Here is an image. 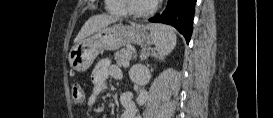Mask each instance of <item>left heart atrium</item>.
Here are the masks:
<instances>
[{"instance_id": "left-heart-atrium-1", "label": "left heart atrium", "mask_w": 273, "mask_h": 118, "mask_svg": "<svg viewBox=\"0 0 273 118\" xmlns=\"http://www.w3.org/2000/svg\"><path fill=\"white\" fill-rule=\"evenodd\" d=\"M159 0H150L151 3H157Z\"/></svg>"}]
</instances>
